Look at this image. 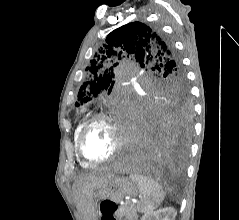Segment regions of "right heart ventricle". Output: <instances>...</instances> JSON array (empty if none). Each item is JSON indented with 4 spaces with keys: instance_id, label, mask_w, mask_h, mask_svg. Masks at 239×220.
Here are the masks:
<instances>
[{
    "instance_id": "e07e8e85",
    "label": "right heart ventricle",
    "mask_w": 239,
    "mask_h": 220,
    "mask_svg": "<svg viewBox=\"0 0 239 220\" xmlns=\"http://www.w3.org/2000/svg\"><path fill=\"white\" fill-rule=\"evenodd\" d=\"M83 125H84V121L83 120L79 121V123L76 126L75 132H74V143H75L76 150H77V143H78L79 133H80ZM80 164L83 167H89L90 166V164L86 163L83 160H80Z\"/></svg>"
}]
</instances>
